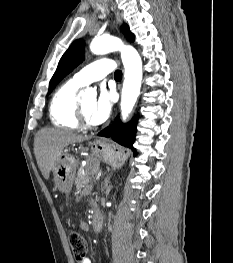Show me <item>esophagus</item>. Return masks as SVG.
Listing matches in <instances>:
<instances>
[{"label":"esophagus","instance_id":"1","mask_svg":"<svg viewBox=\"0 0 233 263\" xmlns=\"http://www.w3.org/2000/svg\"><path fill=\"white\" fill-rule=\"evenodd\" d=\"M112 9H113V11L115 13V16H116L118 24H121L122 23L121 14H120L119 10L117 9V7H116V5L114 3H112ZM98 143L104 144L105 140L104 139H100V140H98Z\"/></svg>","mask_w":233,"mask_h":263}]
</instances>
